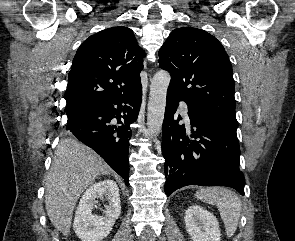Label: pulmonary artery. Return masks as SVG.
Instances as JSON below:
<instances>
[{
	"label": "pulmonary artery",
	"instance_id": "1",
	"mask_svg": "<svg viewBox=\"0 0 295 241\" xmlns=\"http://www.w3.org/2000/svg\"><path fill=\"white\" fill-rule=\"evenodd\" d=\"M179 107H180V111H181L182 115L185 117V120L187 122H189L188 108H187L186 103L181 102L180 105H179Z\"/></svg>",
	"mask_w": 295,
	"mask_h": 241
}]
</instances>
